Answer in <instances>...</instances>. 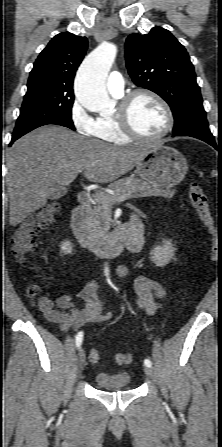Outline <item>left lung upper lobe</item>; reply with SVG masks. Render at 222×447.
Instances as JSON below:
<instances>
[{"label":"left lung upper lobe","instance_id":"5c2ea615","mask_svg":"<svg viewBox=\"0 0 222 447\" xmlns=\"http://www.w3.org/2000/svg\"><path fill=\"white\" fill-rule=\"evenodd\" d=\"M128 73L133 82L160 95L174 115V135L214 138L209 130L193 64L183 45L166 29L133 33L125 44Z\"/></svg>","mask_w":222,"mask_h":447}]
</instances>
